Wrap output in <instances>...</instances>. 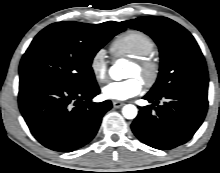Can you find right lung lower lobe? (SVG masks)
I'll return each instance as SVG.
<instances>
[{"instance_id":"right-lung-lower-lobe-1","label":"right lung lower lobe","mask_w":220,"mask_h":173,"mask_svg":"<svg viewBox=\"0 0 220 173\" xmlns=\"http://www.w3.org/2000/svg\"><path fill=\"white\" fill-rule=\"evenodd\" d=\"M97 83L71 87L45 78H22L19 108L33 136L45 147L71 152L96 135L110 100L92 102L99 94Z\"/></svg>"}]
</instances>
